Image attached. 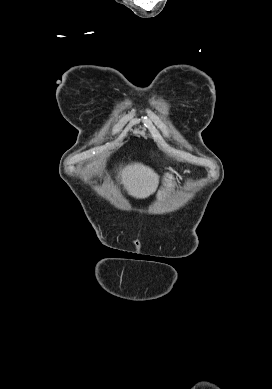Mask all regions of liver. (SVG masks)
I'll use <instances>...</instances> for the list:
<instances>
[{"instance_id": "1", "label": "liver", "mask_w": 272, "mask_h": 389, "mask_svg": "<svg viewBox=\"0 0 272 389\" xmlns=\"http://www.w3.org/2000/svg\"><path fill=\"white\" fill-rule=\"evenodd\" d=\"M101 164L102 160H99L90 164L89 167H98ZM119 176L128 194L137 199H144L152 195L159 184L158 174L141 163L127 165L120 170Z\"/></svg>"}]
</instances>
